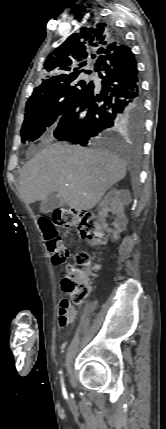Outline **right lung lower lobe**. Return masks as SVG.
Here are the masks:
<instances>
[{
  "mask_svg": "<svg viewBox=\"0 0 166 429\" xmlns=\"http://www.w3.org/2000/svg\"><path fill=\"white\" fill-rule=\"evenodd\" d=\"M94 70L102 89L86 84L62 114L53 132L60 141L81 146L97 144L109 132L143 130L144 108L137 63L130 48L122 45L100 56Z\"/></svg>",
  "mask_w": 166,
  "mask_h": 429,
  "instance_id": "98d812e1",
  "label": "right lung lower lobe"
}]
</instances>
